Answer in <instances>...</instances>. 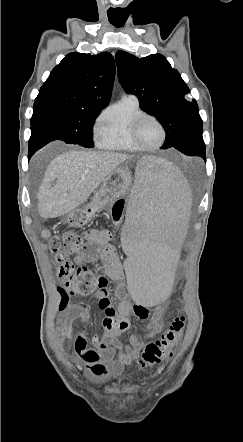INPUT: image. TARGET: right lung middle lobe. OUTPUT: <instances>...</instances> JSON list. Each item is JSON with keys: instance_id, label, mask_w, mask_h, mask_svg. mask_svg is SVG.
<instances>
[{"instance_id": "obj_1", "label": "right lung middle lobe", "mask_w": 243, "mask_h": 442, "mask_svg": "<svg viewBox=\"0 0 243 442\" xmlns=\"http://www.w3.org/2000/svg\"><path fill=\"white\" fill-rule=\"evenodd\" d=\"M100 111L77 108L57 98L35 99L31 135L51 136L67 144L91 148L92 128Z\"/></svg>"}]
</instances>
